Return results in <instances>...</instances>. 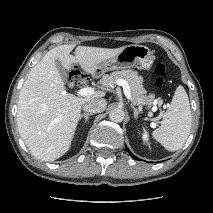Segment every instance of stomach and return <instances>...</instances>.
<instances>
[{"label": "stomach", "instance_id": "1", "mask_svg": "<svg viewBox=\"0 0 213 213\" xmlns=\"http://www.w3.org/2000/svg\"><path fill=\"white\" fill-rule=\"evenodd\" d=\"M154 62L152 51L143 45H127L113 58L100 63L96 73L102 74L111 70L139 67L142 70H149Z\"/></svg>", "mask_w": 213, "mask_h": 213}]
</instances>
